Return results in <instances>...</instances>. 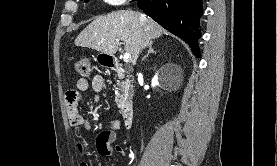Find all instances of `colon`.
Wrapping results in <instances>:
<instances>
[{
	"mask_svg": "<svg viewBox=\"0 0 277 166\" xmlns=\"http://www.w3.org/2000/svg\"><path fill=\"white\" fill-rule=\"evenodd\" d=\"M75 69L82 77H87L91 71V63L88 58H80L75 62Z\"/></svg>",
	"mask_w": 277,
	"mask_h": 166,
	"instance_id": "colon-1",
	"label": "colon"
}]
</instances>
